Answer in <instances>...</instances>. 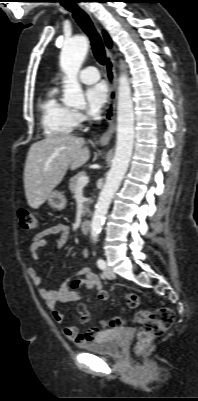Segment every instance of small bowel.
Listing matches in <instances>:
<instances>
[{
	"instance_id": "small-bowel-1",
	"label": "small bowel",
	"mask_w": 198,
	"mask_h": 401,
	"mask_svg": "<svg viewBox=\"0 0 198 401\" xmlns=\"http://www.w3.org/2000/svg\"><path fill=\"white\" fill-rule=\"evenodd\" d=\"M51 235H58L55 241L57 247H62L66 244L70 236V227L65 223H52L46 226L43 230L38 232L31 240L30 255L33 261H37L40 257L41 249L46 245L47 238ZM84 259H88L90 252L87 248L82 250ZM28 275L32 282L39 286L38 293L45 301L47 306L51 309L55 322L62 324L65 321V315L62 311L56 308L58 303L63 302H78L82 299L81 292L83 289H96L97 298L100 301H107L109 294L107 291L102 290L101 281L99 277L92 271L89 266L80 269L73 278L66 280L61 284L57 290H47L40 286L41 279L34 267L27 269ZM86 310L84 307H80ZM87 312V310H86ZM80 316V314H79ZM88 316V312H87ZM88 320V318H87ZM83 321L80 317L81 322ZM63 333L67 339L83 346L88 342L95 341L102 334V330L98 327H90L87 331L81 332L77 327L65 326Z\"/></svg>"
}]
</instances>
